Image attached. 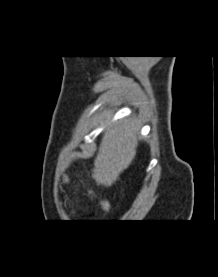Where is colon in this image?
<instances>
[{
	"label": "colon",
	"mask_w": 218,
	"mask_h": 277,
	"mask_svg": "<svg viewBox=\"0 0 218 277\" xmlns=\"http://www.w3.org/2000/svg\"><path fill=\"white\" fill-rule=\"evenodd\" d=\"M102 206L105 210H108V208H109V204L107 202H103Z\"/></svg>",
	"instance_id": "colon-1"
}]
</instances>
